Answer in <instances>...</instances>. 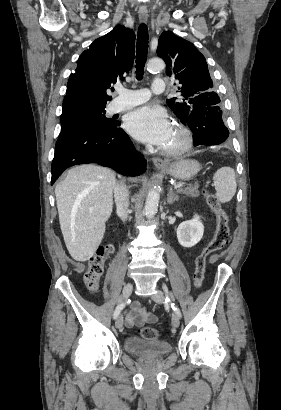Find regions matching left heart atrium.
Segmentation results:
<instances>
[{
  "label": "left heart atrium",
  "mask_w": 281,
  "mask_h": 410,
  "mask_svg": "<svg viewBox=\"0 0 281 410\" xmlns=\"http://www.w3.org/2000/svg\"><path fill=\"white\" fill-rule=\"evenodd\" d=\"M126 129L142 142L163 146L169 139L173 126L163 108L145 106L128 115Z\"/></svg>",
  "instance_id": "left-heart-atrium-1"
}]
</instances>
